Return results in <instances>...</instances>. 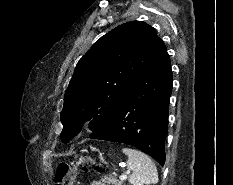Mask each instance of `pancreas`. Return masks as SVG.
Here are the masks:
<instances>
[{
    "label": "pancreas",
    "instance_id": "cf45deb5",
    "mask_svg": "<svg viewBox=\"0 0 233 185\" xmlns=\"http://www.w3.org/2000/svg\"><path fill=\"white\" fill-rule=\"evenodd\" d=\"M101 181L103 182L102 185H123V181H118L113 176H103Z\"/></svg>",
    "mask_w": 233,
    "mask_h": 185
}]
</instances>
